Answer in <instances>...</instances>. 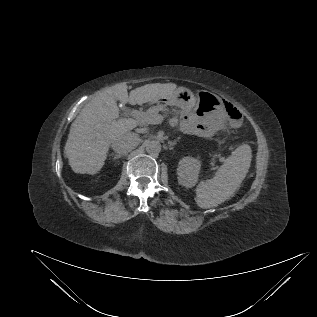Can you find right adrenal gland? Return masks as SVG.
<instances>
[{"instance_id":"2a0ac1e0","label":"right adrenal gland","mask_w":317,"mask_h":317,"mask_svg":"<svg viewBox=\"0 0 317 317\" xmlns=\"http://www.w3.org/2000/svg\"><path fill=\"white\" fill-rule=\"evenodd\" d=\"M110 155L113 156V159H114V160L119 159V158L122 157L121 155H119V154H114V153H112V154H110Z\"/></svg>"}]
</instances>
